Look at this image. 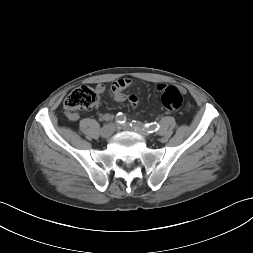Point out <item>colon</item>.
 Here are the masks:
<instances>
[{
	"label": "colon",
	"instance_id": "obj_1",
	"mask_svg": "<svg viewBox=\"0 0 253 253\" xmlns=\"http://www.w3.org/2000/svg\"><path fill=\"white\" fill-rule=\"evenodd\" d=\"M99 99L98 92L89 87L81 86L73 90L64 101V108L71 113L78 110L93 107ZM183 102V97L179 89L174 86L165 87L162 90V103L168 112L178 110Z\"/></svg>",
	"mask_w": 253,
	"mask_h": 253
}]
</instances>
